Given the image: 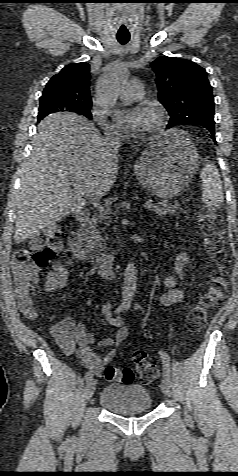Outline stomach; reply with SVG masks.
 I'll list each match as a JSON object with an SVG mask.
<instances>
[{
	"label": "stomach",
	"mask_w": 238,
	"mask_h": 476,
	"mask_svg": "<svg viewBox=\"0 0 238 476\" xmlns=\"http://www.w3.org/2000/svg\"><path fill=\"white\" fill-rule=\"evenodd\" d=\"M199 154L181 130L154 137L134 166L140 183L154 196L178 195L197 170Z\"/></svg>",
	"instance_id": "obj_1"
}]
</instances>
